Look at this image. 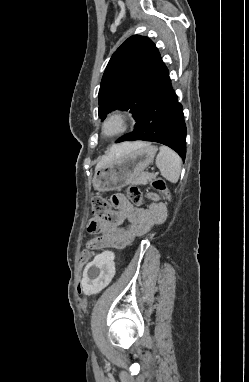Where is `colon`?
<instances>
[{"instance_id": "5ec220e1", "label": "colon", "mask_w": 249, "mask_h": 382, "mask_svg": "<svg viewBox=\"0 0 249 382\" xmlns=\"http://www.w3.org/2000/svg\"><path fill=\"white\" fill-rule=\"evenodd\" d=\"M152 187L157 191V192H165L166 190V184L162 179H154L151 183ZM128 198L130 202L135 205L139 206L142 204V194L139 191L137 187L131 186L127 190ZM149 198L153 201L158 200V194L157 193H150ZM107 201L105 198L101 196H94L91 199V208L93 214L96 216H103L106 211H107ZM94 253L92 251L88 250H83L80 256V259L82 262H85L89 257L93 256Z\"/></svg>"}]
</instances>
